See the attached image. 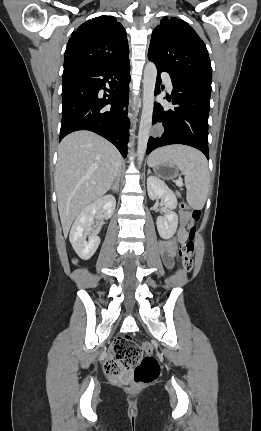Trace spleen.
Listing matches in <instances>:
<instances>
[{"label": "spleen", "instance_id": "obj_1", "mask_svg": "<svg viewBox=\"0 0 261 431\" xmlns=\"http://www.w3.org/2000/svg\"><path fill=\"white\" fill-rule=\"evenodd\" d=\"M162 162L173 164L180 169L185 176L188 204L193 209H202L210 184L208 163L204 155L191 147L172 145L154 151L148 164L153 167Z\"/></svg>", "mask_w": 261, "mask_h": 431}]
</instances>
